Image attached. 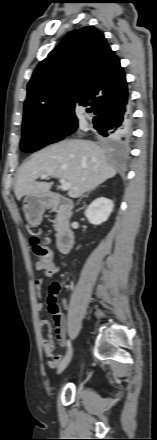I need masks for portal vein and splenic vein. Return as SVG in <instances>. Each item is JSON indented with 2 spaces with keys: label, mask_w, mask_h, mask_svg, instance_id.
Listing matches in <instances>:
<instances>
[{
  "label": "portal vein and splenic vein",
  "mask_w": 157,
  "mask_h": 440,
  "mask_svg": "<svg viewBox=\"0 0 157 440\" xmlns=\"http://www.w3.org/2000/svg\"><path fill=\"white\" fill-rule=\"evenodd\" d=\"M42 179H47L48 175H42L41 176ZM60 183H61V189L63 191H67L70 189L71 185L69 182L65 181L64 179H60Z\"/></svg>",
  "instance_id": "portal-vein-and-splenic-vein-1"
}]
</instances>
